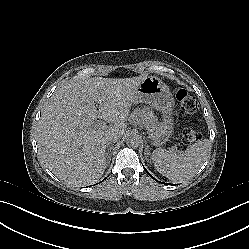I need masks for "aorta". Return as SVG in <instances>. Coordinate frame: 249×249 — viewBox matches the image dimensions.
<instances>
[{"label":"aorta","mask_w":249,"mask_h":249,"mask_svg":"<svg viewBox=\"0 0 249 249\" xmlns=\"http://www.w3.org/2000/svg\"><path fill=\"white\" fill-rule=\"evenodd\" d=\"M140 143V138L138 135H129L126 138V144L129 147H137Z\"/></svg>","instance_id":"762f6f07"}]
</instances>
